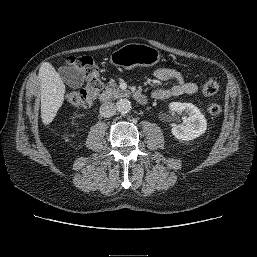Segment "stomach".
<instances>
[{"label":"stomach","instance_id":"0dacf381","mask_svg":"<svg viewBox=\"0 0 257 257\" xmlns=\"http://www.w3.org/2000/svg\"><path fill=\"white\" fill-rule=\"evenodd\" d=\"M160 61L157 49L138 43H129L112 52L110 62L114 66L131 70L137 66H153Z\"/></svg>","mask_w":257,"mask_h":257}]
</instances>
